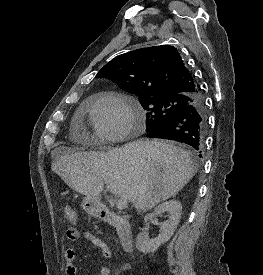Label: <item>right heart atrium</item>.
Segmentation results:
<instances>
[{"instance_id": "right-heart-atrium-1", "label": "right heart atrium", "mask_w": 263, "mask_h": 275, "mask_svg": "<svg viewBox=\"0 0 263 275\" xmlns=\"http://www.w3.org/2000/svg\"><path fill=\"white\" fill-rule=\"evenodd\" d=\"M92 119L97 136L103 141H117L136 131V110L119 94L97 98L92 106Z\"/></svg>"}]
</instances>
